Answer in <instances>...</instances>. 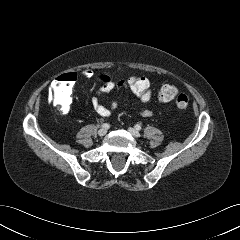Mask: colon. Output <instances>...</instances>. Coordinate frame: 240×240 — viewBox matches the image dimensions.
Instances as JSON below:
<instances>
[{"label":"colon","instance_id":"colon-1","mask_svg":"<svg viewBox=\"0 0 240 240\" xmlns=\"http://www.w3.org/2000/svg\"><path fill=\"white\" fill-rule=\"evenodd\" d=\"M75 79V74L67 73L56 78L53 83V104L62 112H66L70 108L71 91ZM107 79L108 76H101L102 81ZM125 83L128 92L143 102H149L151 99L157 98L162 103L174 101L181 110L189 107L190 100L188 96L181 93L173 84H163L155 90L150 80L139 74L129 76L125 79Z\"/></svg>","mask_w":240,"mask_h":240}]
</instances>
